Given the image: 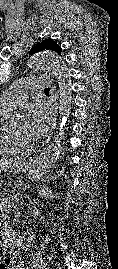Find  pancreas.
Here are the masks:
<instances>
[{"instance_id":"cf45deb5","label":"pancreas","mask_w":118,"mask_h":269,"mask_svg":"<svg viewBox=\"0 0 118 269\" xmlns=\"http://www.w3.org/2000/svg\"><path fill=\"white\" fill-rule=\"evenodd\" d=\"M16 189V183L15 182H6V187H1V192H12Z\"/></svg>"}]
</instances>
